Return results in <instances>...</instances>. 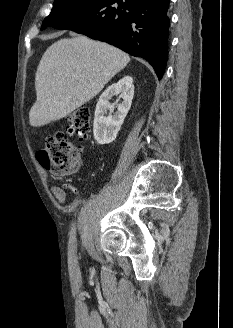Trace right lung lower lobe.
<instances>
[{
  "label": "right lung lower lobe",
  "mask_w": 233,
  "mask_h": 328,
  "mask_svg": "<svg viewBox=\"0 0 233 328\" xmlns=\"http://www.w3.org/2000/svg\"><path fill=\"white\" fill-rule=\"evenodd\" d=\"M169 0H96L51 26L107 42L146 59L162 78L168 58Z\"/></svg>",
  "instance_id": "right-lung-lower-lobe-1"
}]
</instances>
